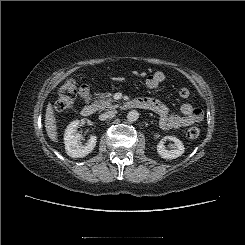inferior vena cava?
<instances>
[{"mask_svg":"<svg viewBox=\"0 0 245 245\" xmlns=\"http://www.w3.org/2000/svg\"><path fill=\"white\" fill-rule=\"evenodd\" d=\"M116 114V111H108L99 116L100 120H106L110 117H113Z\"/></svg>","mask_w":245,"mask_h":245,"instance_id":"obj_1","label":"inferior vena cava"}]
</instances>
